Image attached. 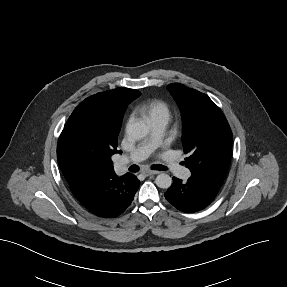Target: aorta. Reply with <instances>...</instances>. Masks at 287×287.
I'll use <instances>...</instances> for the list:
<instances>
[{
    "label": "aorta",
    "mask_w": 287,
    "mask_h": 287,
    "mask_svg": "<svg viewBox=\"0 0 287 287\" xmlns=\"http://www.w3.org/2000/svg\"><path fill=\"white\" fill-rule=\"evenodd\" d=\"M126 132L131 139L140 140L147 136L149 128L143 122H134L128 124ZM155 183L159 188L168 189L172 185V178L168 174L161 173L156 177Z\"/></svg>",
    "instance_id": "762f6f07"
}]
</instances>
